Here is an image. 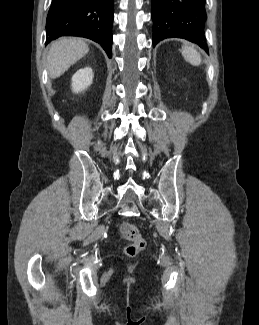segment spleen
Wrapping results in <instances>:
<instances>
[{
	"instance_id": "1",
	"label": "spleen",
	"mask_w": 259,
	"mask_h": 325,
	"mask_svg": "<svg viewBox=\"0 0 259 325\" xmlns=\"http://www.w3.org/2000/svg\"><path fill=\"white\" fill-rule=\"evenodd\" d=\"M181 53L186 61L194 66L201 64L200 54L191 46L185 45L181 49Z\"/></svg>"
}]
</instances>
